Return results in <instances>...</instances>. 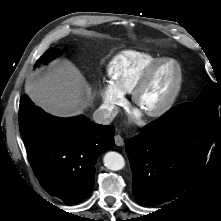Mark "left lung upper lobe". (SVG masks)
Masks as SVG:
<instances>
[{
    "label": "left lung upper lobe",
    "instance_id": "1",
    "mask_svg": "<svg viewBox=\"0 0 221 221\" xmlns=\"http://www.w3.org/2000/svg\"><path fill=\"white\" fill-rule=\"evenodd\" d=\"M169 118L180 125H205L221 128V117H218V104L213 82H209L193 103L183 104L172 109Z\"/></svg>",
    "mask_w": 221,
    "mask_h": 221
}]
</instances>
